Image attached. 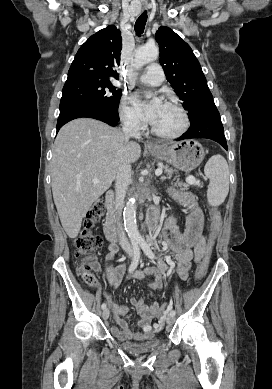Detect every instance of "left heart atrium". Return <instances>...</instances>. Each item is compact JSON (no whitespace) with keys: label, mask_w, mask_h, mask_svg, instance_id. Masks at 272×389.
<instances>
[{"label":"left heart atrium","mask_w":272,"mask_h":389,"mask_svg":"<svg viewBox=\"0 0 272 389\" xmlns=\"http://www.w3.org/2000/svg\"><path fill=\"white\" fill-rule=\"evenodd\" d=\"M140 105L143 107L146 119L153 123L163 105L162 101L158 97H154L147 103H143L142 101H139Z\"/></svg>","instance_id":"obj_1"}]
</instances>
